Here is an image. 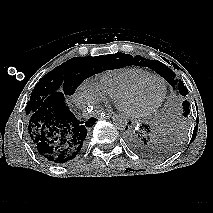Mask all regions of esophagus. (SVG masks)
<instances>
[{"label": "esophagus", "mask_w": 213, "mask_h": 213, "mask_svg": "<svg viewBox=\"0 0 213 213\" xmlns=\"http://www.w3.org/2000/svg\"><path fill=\"white\" fill-rule=\"evenodd\" d=\"M115 112H113V111H108V112H104V113H102V115L103 116H105V117H113V116H115Z\"/></svg>", "instance_id": "obj_1"}]
</instances>
